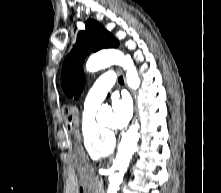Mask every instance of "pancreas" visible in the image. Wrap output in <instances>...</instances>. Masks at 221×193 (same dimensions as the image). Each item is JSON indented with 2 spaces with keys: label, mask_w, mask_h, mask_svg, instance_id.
I'll list each match as a JSON object with an SVG mask.
<instances>
[{
  "label": "pancreas",
  "mask_w": 221,
  "mask_h": 193,
  "mask_svg": "<svg viewBox=\"0 0 221 193\" xmlns=\"http://www.w3.org/2000/svg\"><path fill=\"white\" fill-rule=\"evenodd\" d=\"M93 189H94V193H101V191H102V187L100 185V181H99L98 178H96L94 180V187H93Z\"/></svg>",
  "instance_id": "1"
}]
</instances>
